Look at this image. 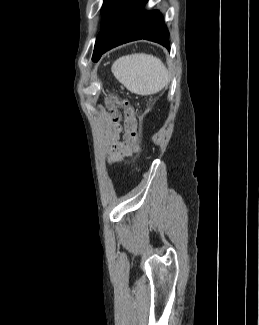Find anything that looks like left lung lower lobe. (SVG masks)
I'll return each mask as SVG.
<instances>
[{"instance_id": "left-lung-lower-lobe-1", "label": "left lung lower lobe", "mask_w": 259, "mask_h": 325, "mask_svg": "<svg viewBox=\"0 0 259 325\" xmlns=\"http://www.w3.org/2000/svg\"><path fill=\"white\" fill-rule=\"evenodd\" d=\"M148 0H125L111 17L103 34L101 55L134 40H150L170 50L169 32L158 10H144Z\"/></svg>"}]
</instances>
